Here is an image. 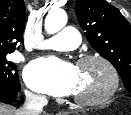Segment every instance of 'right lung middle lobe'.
<instances>
[{
	"instance_id": "right-lung-middle-lobe-1",
	"label": "right lung middle lobe",
	"mask_w": 131,
	"mask_h": 115,
	"mask_svg": "<svg viewBox=\"0 0 131 115\" xmlns=\"http://www.w3.org/2000/svg\"><path fill=\"white\" fill-rule=\"evenodd\" d=\"M8 53H0V92L10 91L19 85L17 66L7 60Z\"/></svg>"
}]
</instances>
